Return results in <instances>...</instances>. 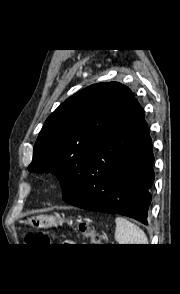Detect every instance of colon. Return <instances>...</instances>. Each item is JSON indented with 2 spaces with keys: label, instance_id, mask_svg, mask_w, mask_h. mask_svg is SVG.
Listing matches in <instances>:
<instances>
[{
  "label": "colon",
  "instance_id": "obj_1",
  "mask_svg": "<svg viewBox=\"0 0 180 294\" xmlns=\"http://www.w3.org/2000/svg\"><path fill=\"white\" fill-rule=\"evenodd\" d=\"M75 228L79 230L81 235L88 239L92 245L101 244V235L96 231L94 226L87 222L83 221L75 225ZM25 241L27 244H45L49 242L48 235L43 231L30 232L26 235Z\"/></svg>",
  "mask_w": 180,
  "mask_h": 294
}]
</instances>
